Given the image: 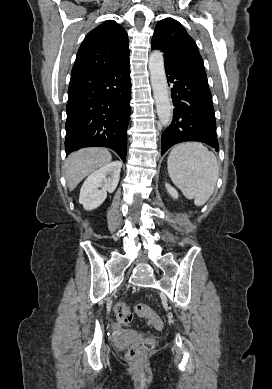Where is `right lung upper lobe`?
<instances>
[{"instance_id":"obj_1","label":"right lung upper lobe","mask_w":272,"mask_h":389,"mask_svg":"<svg viewBox=\"0 0 272 389\" xmlns=\"http://www.w3.org/2000/svg\"><path fill=\"white\" fill-rule=\"evenodd\" d=\"M127 32L115 21L107 20L83 40L71 77L104 70L129 58Z\"/></svg>"}]
</instances>
